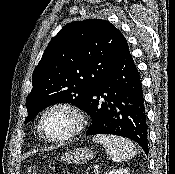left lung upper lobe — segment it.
Instances as JSON below:
<instances>
[{
	"label": "left lung upper lobe",
	"mask_w": 175,
	"mask_h": 174,
	"mask_svg": "<svg viewBox=\"0 0 175 174\" xmlns=\"http://www.w3.org/2000/svg\"><path fill=\"white\" fill-rule=\"evenodd\" d=\"M127 46L123 34L106 20L65 25L51 40L33 72L25 122L55 103H74L85 109L90 93Z\"/></svg>",
	"instance_id": "obj_1"
}]
</instances>
